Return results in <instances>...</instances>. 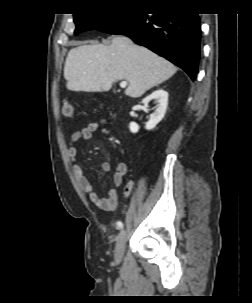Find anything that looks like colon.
<instances>
[{"instance_id": "obj_1", "label": "colon", "mask_w": 252, "mask_h": 303, "mask_svg": "<svg viewBox=\"0 0 252 303\" xmlns=\"http://www.w3.org/2000/svg\"><path fill=\"white\" fill-rule=\"evenodd\" d=\"M62 114L65 117H72L74 115V104L72 100L70 99H64L63 105H62ZM129 187L126 190V193H128Z\"/></svg>"}]
</instances>
